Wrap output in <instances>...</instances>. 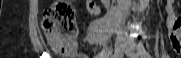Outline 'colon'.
Listing matches in <instances>:
<instances>
[{
  "label": "colon",
  "mask_w": 181,
  "mask_h": 58,
  "mask_svg": "<svg viewBox=\"0 0 181 58\" xmlns=\"http://www.w3.org/2000/svg\"><path fill=\"white\" fill-rule=\"evenodd\" d=\"M42 30L51 48L61 55L84 58L75 53L74 39L78 34L72 1L58 0L44 12Z\"/></svg>",
  "instance_id": "obj_1"
}]
</instances>
